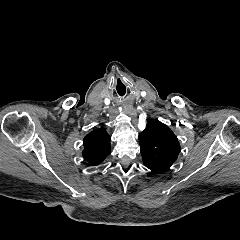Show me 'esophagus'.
Returning <instances> with one entry per match:
<instances>
[{
  "label": "esophagus",
  "instance_id": "esophagus-1",
  "mask_svg": "<svg viewBox=\"0 0 240 240\" xmlns=\"http://www.w3.org/2000/svg\"><path fill=\"white\" fill-rule=\"evenodd\" d=\"M122 105L125 107H129V105L127 103H123Z\"/></svg>",
  "mask_w": 240,
  "mask_h": 240
}]
</instances>
